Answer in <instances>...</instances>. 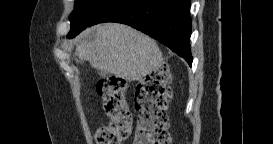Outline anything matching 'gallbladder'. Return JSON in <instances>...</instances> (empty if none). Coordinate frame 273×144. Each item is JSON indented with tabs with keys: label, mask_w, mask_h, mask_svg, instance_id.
Segmentation results:
<instances>
[{
	"label": "gallbladder",
	"mask_w": 273,
	"mask_h": 144,
	"mask_svg": "<svg viewBox=\"0 0 273 144\" xmlns=\"http://www.w3.org/2000/svg\"><path fill=\"white\" fill-rule=\"evenodd\" d=\"M101 74H102V73H101ZM100 78H101V80H106L107 77H106V75H101Z\"/></svg>",
	"instance_id": "1"
}]
</instances>
